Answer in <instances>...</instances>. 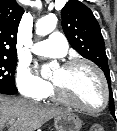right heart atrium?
I'll use <instances>...</instances> for the list:
<instances>
[{
	"mask_svg": "<svg viewBox=\"0 0 117 131\" xmlns=\"http://www.w3.org/2000/svg\"><path fill=\"white\" fill-rule=\"evenodd\" d=\"M16 85L23 96L32 100L45 98L51 90L49 82L33 74L24 65L19 66L17 69Z\"/></svg>",
	"mask_w": 117,
	"mask_h": 131,
	"instance_id": "d8ad5b80",
	"label": "right heart atrium"
}]
</instances>
